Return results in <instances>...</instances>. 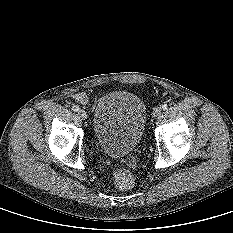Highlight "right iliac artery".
<instances>
[{"label": "right iliac artery", "mask_w": 233, "mask_h": 233, "mask_svg": "<svg viewBox=\"0 0 233 233\" xmlns=\"http://www.w3.org/2000/svg\"><path fill=\"white\" fill-rule=\"evenodd\" d=\"M72 110L75 111V112H77L79 110V107L77 105H73L72 106Z\"/></svg>", "instance_id": "1"}]
</instances>
